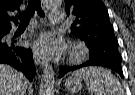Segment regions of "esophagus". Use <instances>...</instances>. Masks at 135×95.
I'll return each mask as SVG.
<instances>
[{"instance_id":"esophagus-1","label":"esophagus","mask_w":135,"mask_h":95,"mask_svg":"<svg viewBox=\"0 0 135 95\" xmlns=\"http://www.w3.org/2000/svg\"><path fill=\"white\" fill-rule=\"evenodd\" d=\"M33 59L36 65L39 67H46L47 66V58L42 55L37 53L36 51L33 50Z\"/></svg>"}]
</instances>
